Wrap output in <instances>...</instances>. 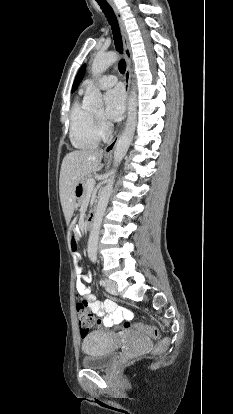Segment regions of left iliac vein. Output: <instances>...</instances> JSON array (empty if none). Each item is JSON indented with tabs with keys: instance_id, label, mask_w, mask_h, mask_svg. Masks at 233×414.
<instances>
[{
	"instance_id": "left-iliac-vein-1",
	"label": "left iliac vein",
	"mask_w": 233,
	"mask_h": 414,
	"mask_svg": "<svg viewBox=\"0 0 233 414\" xmlns=\"http://www.w3.org/2000/svg\"><path fill=\"white\" fill-rule=\"evenodd\" d=\"M106 290L110 294H113V295H117L118 294L117 285L112 280H107L106 281Z\"/></svg>"
}]
</instances>
